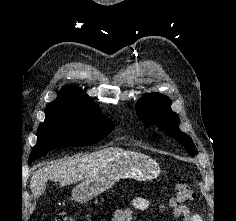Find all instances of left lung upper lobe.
<instances>
[{
	"label": "left lung upper lobe",
	"instance_id": "1",
	"mask_svg": "<svg viewBox=\"0 0 236 221\" xmlns=\"http://www.w3.org/2000/svg\"><path fill=\"white\" fill-rule=\"evenodd\" d=\"M170 106L169 97L160 93H152L142 97L137 102L136 109L145 127L149 125L158 126L167 135L184 144L187 152L194 156L195 145L187 134L180 131L178 127L179 117L171 110Z\"/></svg>",
	"mask_w": 236,
	"mask_h": 221
}]
</instances>
